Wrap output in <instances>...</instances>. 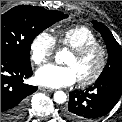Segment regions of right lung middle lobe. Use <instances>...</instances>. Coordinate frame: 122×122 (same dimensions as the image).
Segmentation results:
<instances>
[{
  "instance_id": "obj_1",
  "label": "right lung middle lobe",
  "mask_w": 122,
  "mask_h": 122,
  "mask_svg": "<svg viewBox=\"0 0 122 122\" xmlns=\"http://www.w3.org/2000/svg\"><path fill=\"white\" fill-rule=\"evenodd\" d=\"M60 11L21 5L1 15V53L30 65V47L34 38L57 21L66 18Z\"/></svg>"
}]
</instances>
